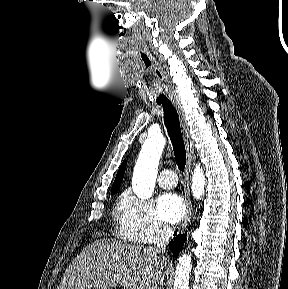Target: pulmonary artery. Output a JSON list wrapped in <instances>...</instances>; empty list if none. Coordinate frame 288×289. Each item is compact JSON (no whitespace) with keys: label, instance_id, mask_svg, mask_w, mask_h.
I'll return each instance as SVG.
<instances>
[{"label":"pulmonary artery","instance_id":"1","mask_svg":"<svg viewBox=\"0 0 288 289\" xmlns=\"http://www.w3.org/2000/svg\"><path fill=\"white\" fill-rule=\"evenodd\" d=\"M158 184L160 187L170 189L176 186L177 176L174 171L170 169L163 170L158 178Z\"/></svg>","mask_w":288,"mask_h":289}]
</instances>
